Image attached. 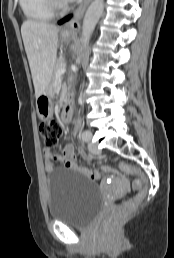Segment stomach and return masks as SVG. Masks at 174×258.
Here are the masks:
<instances>
[{"instance_id": "1", "label": "stomach", "mask_w": 174, "mask_h": 258, "mask_svg": "<svg viewBox=\"0 0 174 258\" xmlns=\"http://www.w3.org/2000/svg\"><path fill=\"white\" fill-rule=\"evenodd\" d=\"M61 37L65 41H69L71 39L70 34L62 33ZM53 97L50 92V88H47L37 99H36V108L38 117L46 121L50 119L53 115Z\"/></svg>"}]
</instances>
